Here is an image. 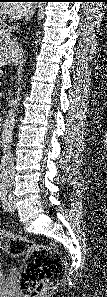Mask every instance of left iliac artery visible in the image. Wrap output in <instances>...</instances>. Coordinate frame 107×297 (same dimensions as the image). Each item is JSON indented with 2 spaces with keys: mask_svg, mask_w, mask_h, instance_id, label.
<instances>
[{
  "mask_svg": "<svg viewBox=\"0 0 107 297\" xmlns=\"http://www.w3.org/2000/svg\"><path fill=\"white\" fill-rule=\"evenodd\" d=\"M0 198H1V201H2V204H3V208H4L5 205H6V192L5 191L0 192Z\"/></svg>",
  "mask_w": 107,
  "mask_h": 297,
  "instance_id": "obj_1",
  "label": "left iliac artery"
}]
</instances>
